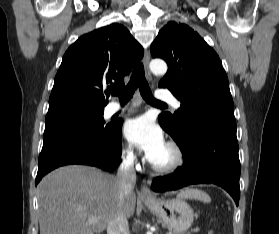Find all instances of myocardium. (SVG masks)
<instances>
[{"label": "myocardium", "instance_id": "myocardium-1", "mask_svg": "<svg viewBox=\"0 0 279 234\" xmlns=\"http://www.w3.org/2000/svg\"><path fill=\"white\" fill-rule=\"evenodd\" d=\"M166 147L171 153V159L168 162L164 164H157L149 160L152 170L159 174L172 173L180 168L184 162L183 151L177 143L169 141L166 144Z\"/></svg>", "mask_w": 279, "mask_h": 234}]
</instances>
